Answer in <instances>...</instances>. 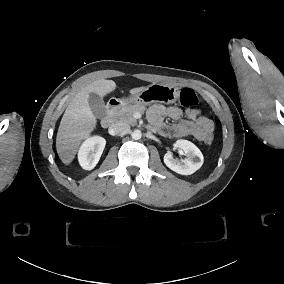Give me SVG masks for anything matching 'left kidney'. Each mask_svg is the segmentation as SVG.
Segmentation results:
<instances>
[{
	"label": "left kidney",
	"instance_id": "1",
	"mask_svg": "<svg viewBox=\"0 0 284 284\" xmlns=\"http://www.w3.org/2000/svg\"><path fill=\"white\" fill-rule=\"evenodd\" d=\"M174 147L184 151L186 159H174L172 152L168 151L164 156V163L168 168L181 175H191L203 164V154L199 148L188 140L179 139Z\"/></svg>",
	"mask_w": 284,
	"mask_h": 284
}]
</instances>
